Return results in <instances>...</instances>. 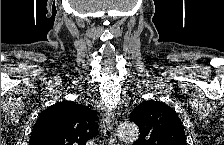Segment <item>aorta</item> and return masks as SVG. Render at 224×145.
Masks as SVG:
<instances>
[{
  "label": "aorta",
  "instance_id": "aorta-1",
  "mask_svg": "<svg viewBox=\"0 0 224 145\" xmlns=\"http://www.w3.org/2000/svg\"><path fill=\"white\" fill-rule=\"evenodd\" d=\"M118 137L125 142H134L139 137V129L133 122H124L117 130Z\"/></svg>",
  "mask_w": 224,
  "mask_h": 145
}]
</instances>
